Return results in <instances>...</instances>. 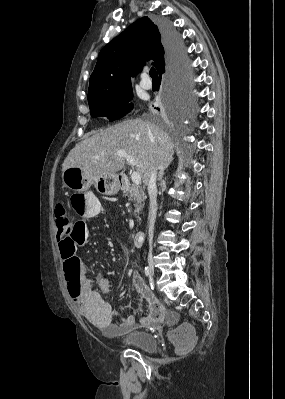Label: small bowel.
<instances>
[{"mask_svg": "<svg viewBox=\"0 0 285 399\" xmlns=\"http://www.w3.org/2000/svg\"><path fill=\"white\" fill-rule=\"evenodd\" d=\"M87 195V202L79 213L84 219H91L101 212L102 205L92 193H87ZM80 223L87 230L86 222L81 221ZM70 269L77 275L79 284L77 295L70 294L68 290L70 298L77 305L81 314L98 328L107 329L116 335H124L138 328L155 327L166 318L165 309L154 297L139 273H135L132 280L139 291L141 301L148 307V313L138 318L128 315L121 320H115L111 306L105 299L111 291L109 284L103 281L99 290L93 289L88 279V270L79 258L71 262Z\"/></svg>", "mask_w": 285, "mask_h": 399, "instance_id": "1", "label": "small bowel"}]
</instances>
